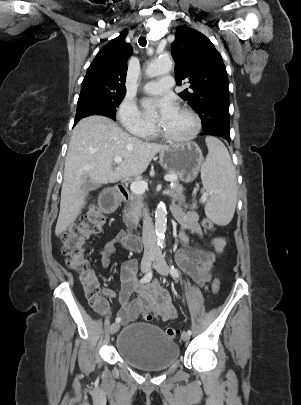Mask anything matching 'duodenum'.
<instances>
[{
    "mask_svg": "<svg viewBox=\"0 0 301 405\" xmlns=\"http://www.w3.org/2000/svg\"><path fill=\"white\" fill-rule=\"evenodd\" d=\"M129 198V191L124 186H119L117 190H105L104 194H99L97 207L100 213H116L117 209L123 205L124 200ZM123 245L126 249L138 252L142 249V240L132 229L124 231Z\"/></svg>",
    "mask_w": 301,
    "mask_h": 405,
    "instance_id": "410a0bca",
    "label": "duodenum"
}]
</instances>
